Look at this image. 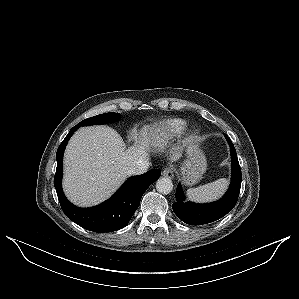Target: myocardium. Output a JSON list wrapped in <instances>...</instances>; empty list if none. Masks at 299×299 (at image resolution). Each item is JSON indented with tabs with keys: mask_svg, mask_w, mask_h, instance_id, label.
I'll list each match as a JSON object with an SVG mask.
<instances>
[{
	"mask_svg": "<svg viewBox=\"0 0 299 299\" xmlns=\"http://www.w3.org/2000/svg\"><path fill=\"white\" fill-rule=\"evenodd\" d=\"M199 137V130L196 128H190L186 131L184 140H183V146L184 147H191L194 145V143L197 141Z\"/></svg>",
	"mask_w": 299,
	"mask_h": 299,
	"instance_id": "myocardium-1",
	"label": "myocardium"
}]
</instances>
